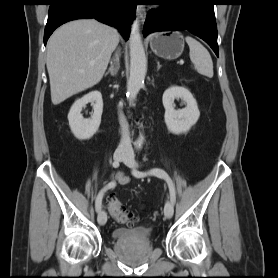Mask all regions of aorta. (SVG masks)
<instances>
[{
	"mask_svg": "<svg viewBox=\"0 0 278 278\" xmlns=\"http://www.w3.org/2000/svg\"><path fill=\"white\" fill-rule=\"evenodd\" d=\"M130 77L127 85V96L130 102L136 98L139 90L144 85L146 75V56L139 29V22L136 19L130 32ZM144 137L140 136L136 142L137 147H141Z\"/></svg>",
	"mask_w": 278,
	"mask_h": 278,
	"instance_id": "aorta-1",
	"label": "aorta"
}]
</instances>
